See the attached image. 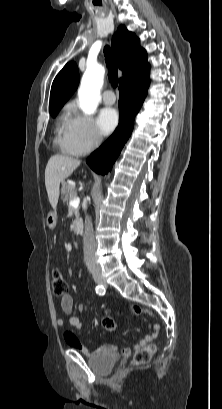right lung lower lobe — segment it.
Segmentation results:
<instances>
[{
    "instance_id": "obj_1",
    "label": "right lung lower lobe",
    "mask_w": 222,
    "mask_h": 409,
    "mask_svg": "<svg viewBox=\"0 0 222 409\" xmlns=\"http://www.w3.org/2000/svg\"><path fill=\"white\" fill-rule=\"evenodd\" d=\"M148 73L136 76L125 83H120L119 125L112 136L87 158L88 165L99 174L107 173L119 156L130 136L134 118L147 95L149 86Z\"/></svg>"
}]
</instances>
